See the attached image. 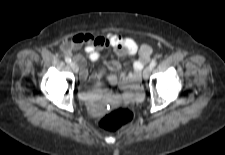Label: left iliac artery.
Here are the masks:
<instances>
[{"label": "left iliac artery", "mask_w": 225, "mask_h": 155, "mask_svg": "<svg viewBox=\"0 0 225 155\" xmlns=\"http://www.w3.org/2000/svg\"><path fill=\"white\" fill-rule=\"evenodd\" d=\"M156 64H157L156 60H153V61H151L150 66L152 68H154L156 66Z\"/></svg>", "instance_id": "obj_1"}]
</instances>
